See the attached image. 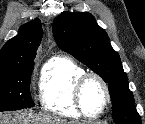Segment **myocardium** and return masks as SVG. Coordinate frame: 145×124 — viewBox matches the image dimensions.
<instances>
[{"instance_id":"myocardium-1","label":"myocardium","mask_w":145,"mask_h":124,"mask_svg":"<svg viewBox=\"0 0 145 124\" xmlns=\"http://www.w3.org/2000/svg\"><path fill=\"white\" fill-rule=\"evenodd\" d=\"M91 80H94L97 83H99L101 87L103 88V91L105 94V101H104L102 109L98 113L92 114V115L88 114L85 111L84 106H83V92H84L85 86ZM73 94H74V103H75L76 109L78 110L79 114L82 117L87 118V119H97L103 116L111 102V93H110V89L107 82L100 75L96 73H92V72H86L77 79L74 85Z\"/></svg>"}]
</instances>
